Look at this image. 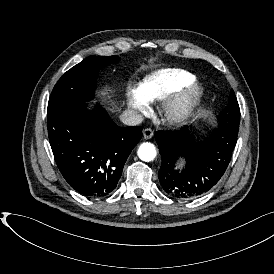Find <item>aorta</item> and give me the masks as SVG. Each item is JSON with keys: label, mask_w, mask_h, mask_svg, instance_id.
I'll return each instance as SVG.
<instances>
[{"label": "aorta", "mask_w": 274, "mask_h": 274, "mask_svg": "<svg viewBox=\"0 0 274 274\" xmlns=\"http://www.w3.org/2000/svg\"><path fill=\"white\" fill-rule=\"evenodd\" d=\"M137 153L139 158L145 162L152 161L157 155L155 146L149 142L142 143Z\"/></svg>", "instance_id": "obj_1"}]
</instances>
